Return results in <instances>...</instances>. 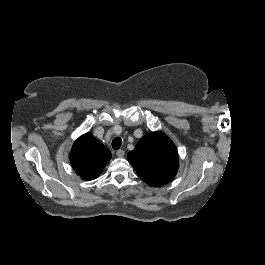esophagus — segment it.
Returning <instances> with one entry per match:
<instances>
[{
  "mask_svg": "<svg viewBox=\"0 0 265 265\" xmlns=\"http://www.w3.org/2000/svg\"><path fill=\"white\" fill-rule=\"evenodd\" d=\"M124 154H125V151L124 150H122V149L117 150V156L119 158H123L124 157Z\"/></svg>",
  "mask_w": 265,
  "mask_h": 265,
  "instance_id": "34e87169",
  "label": "esophagus"
}]
</instances>
